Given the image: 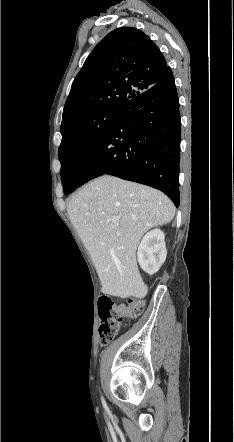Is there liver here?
<instances>
[{"label":"liver","instance_id":"liver-1","mask_svg":"<svg viewBox=\"0 0 234 442\" xmlns=\"http://www.w3.org/2000/svg\"><path fill=\"white\" fill-rule=\"evenodd\" d=\"M69 218L88 249L102 292L144 298L136 249L150 228L172 221L175 207L162 192L104 175L85 185L67 206Z\"/></svg>","mask_w":234,"mask_h":442}]
</instances>
